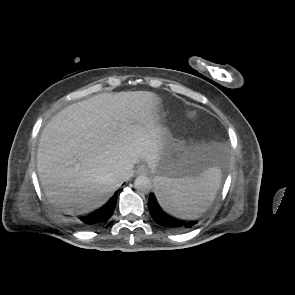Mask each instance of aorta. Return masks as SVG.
<instances>
[{
    "mask_svg": "<svg viewBox=\"0 0 295 295\" xmlns=\"http://www.w3.org/2000/svg\"><path fill=\"white\" fill-rule=\"evenodd\" d=\"M134 187L140 192L148 193L152 189V184L147 176L140 175L135 179Z\"/></svg>",
    "mask_w": 295,
    "mask_h": 295,
    "instance_id": "aorta-1",
    "label": "aorta"
}]
</instances>
